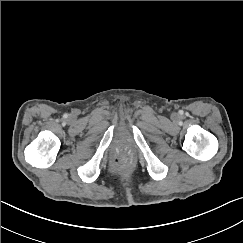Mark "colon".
<instances>
[{"mask_svg": "<svg viewBox=\"0 0 243 243\" xmlns=\"http://www.w3.org/2000/svg\"><path fill=\"white\" fill-rule=\"evenodd\" d=\"M130 163L126 157H117L113 161V166L117 170H125L129 167Z\"/></svg>", "mask_w": 243, "mask_h": 243, "instance_id": "colon-1", "label": "colon"}]
</instances>
